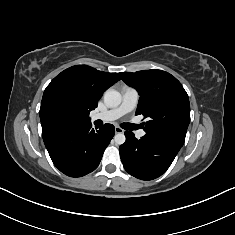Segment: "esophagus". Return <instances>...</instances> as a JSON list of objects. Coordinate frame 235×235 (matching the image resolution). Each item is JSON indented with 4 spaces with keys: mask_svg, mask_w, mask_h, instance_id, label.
<instances>
[{
    "mask_svg": "<svg viewBox=\"0 0 235 235\" xmlns=\"http://www.w3.org/2000/svg\"><path fill=\"white\" fill-rule=\"evenodd\" d=\"M123 132H124V130L121 127H119V126L115 127V133H123Z\"/></svg>",
    "mask_w": 235,
    "mask_h": 235,
    "instance_id": "1",
    "label": "esophagus"
}]
</instances>
